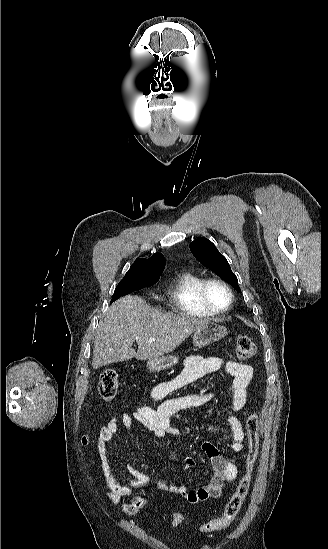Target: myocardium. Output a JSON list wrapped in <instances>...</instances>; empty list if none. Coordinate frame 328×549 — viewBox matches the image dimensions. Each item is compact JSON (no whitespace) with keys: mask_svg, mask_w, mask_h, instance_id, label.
Segmentation results:
<instances>
[{"mask_svg":"<svg viewBox=\"0 0 328 549\" xmlns=\"http://www.w3.org/2000/svg\"><path fill=\"white\" fill-rule=\"evenodd\" d=\"M213 286H221L223 287L229 294V303L224 309H216L213 306H211V302L209 299V291ZM200 299H201V305L200 309L203 313L214 317V318H220L224 317L228 313L231 312L233 309L234 303H235V293L231 285L219 278H211L204 282L200 289Z\"/></svg>","mask_w":328,"mask_h":549,"instance_id":"f54148a6","label":"myocardium"}]
</instances>
